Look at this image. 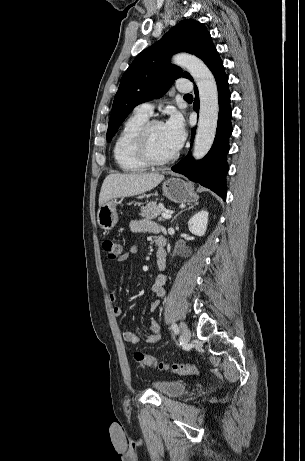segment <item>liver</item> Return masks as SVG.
Returning <instances> with one entry per match:
<instances>
[{
  "label": "liver",
  "mask_w": 305,
  "mask_h": 461,
  "mask_svg": "<svg viewBox=\"0 0 305 461\" xmlns=\"http://www.w3.org/2000/svg\"><path fill=\"white\" fill-rule=\"evenodd\" d=\"M164 175L159 173L109 174L101 187L99 207L115 198L142 194L155 188Z\"/></svg>",
  "instance_id": "liver-1"
}]
</instances>
